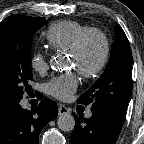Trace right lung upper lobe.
<instances>
[{
	"mask_svg": "<svg viewBox=\"0 0 144 144\" xmlns=\"http://www.w3.org/2000/svg\"><path fill=\"white\" fill-rule=\"evenodd\" d=\"M12 106L7 102V100L0 95V115L8 111Z\"/></svg>",
	"mask_w": 144,
	"mask_h": 144,
	"instance_id": "right-lung-upper-lobe-1",
	"label": "right lung upper lobe"
}]
</instances>
